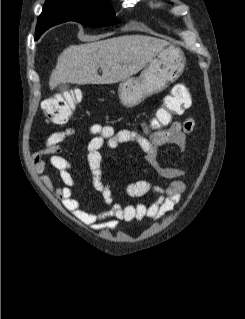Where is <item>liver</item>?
<instances>
[{
	"label": "liver",
	"instance_id": "6515ba94",
	"mask_svg": "<svg viewBox=\"0 0 245 319\" xmlns=\"http://www.w3.org/2000/svg\"><path fill=\"white\" fill-rule=\"evenodd\" d=\"M169 42L146 35H125L72 45L57 59L49 79L53 90L61 83L114 84L143 69ZM101 68L102 76L98 75Z\"/></svg>",
	"mask_w": 245,
	"mask_h": 319
}]
</instances>
